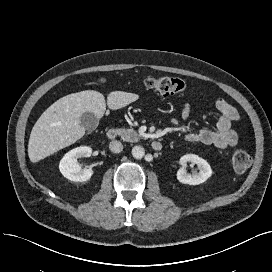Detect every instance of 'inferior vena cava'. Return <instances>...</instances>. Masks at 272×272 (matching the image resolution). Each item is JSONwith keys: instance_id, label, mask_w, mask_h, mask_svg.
<instances>
[{"instance_id": "602c4592", "label": "inferior vena cava", "mask_w": 272, "mask_h": 272, "mask_svg": "<svg viewBox=\"0 0 272 272\" xmlns=\"http://www.w3.org/2000/svg\"><path fill=\"white\" fill-rule=\"evenodd\" d=\"M109 149L113 153H120L123 150V145L120 141L113 140L109 144Z\"/></svg>"}]
</instances>
